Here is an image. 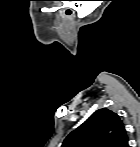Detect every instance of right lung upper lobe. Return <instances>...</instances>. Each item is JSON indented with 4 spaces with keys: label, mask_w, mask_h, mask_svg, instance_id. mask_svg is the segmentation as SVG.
<instances>
[{
    "label": "right lung upper lobe",
    "mask_w": 140,
    "mask_h": 147,
    "mask_svg": "<svg viewBox=\"0 0 140 147\" xmlns=\"http://www.w3.org/2000/svg\"><path fill=\"white\" fill-rule=\"evenodd\" d=\"M61 147H128V136L120 117L103 108L72 131Z\"/></svg>",
    "instance_id": "obj_1"
}]
</instances>
